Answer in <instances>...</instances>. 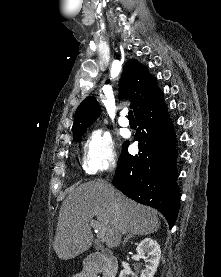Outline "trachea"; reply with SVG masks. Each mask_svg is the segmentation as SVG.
I'll use <instances>...</instances> for the list:
<instances>
[{
  "label": "trachea",
  "mask_w": 221,
  "mask_h": 277,
  "mask_svg": "<svg viewBox=\"0 0 221 277\" xmlns=\"http://www.w3.org/2000/svg\"><path fill=\"white\" fill-rule=\"evenodd\" d=\"M128 118H129V119H134V115H133L132 110H130V111L128 112Z\"/></svg>",
  "instance_id": "obj_1"
}]
</instances>
